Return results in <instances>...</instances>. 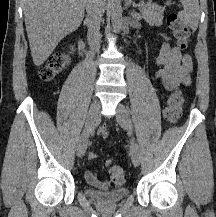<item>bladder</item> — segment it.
Segmentation results:
<instances>
[{"instance_id": "31cf9c89", "label": "bladder", "mask_w": 216, "mask_h": 217, "mask_svg": "<svg viewBox=\"0 0 216 217\" xmlns=\"http://www.w3.org/2000/svg\"><path fill=\"white\" fill-rule=\"evenodd\" d=\"M85 194L99 204L110 205L126 199L129 195V189L126 186H120L113 190L97 191L87 187L85 188Z\"/></svg>"}]
</instances>
